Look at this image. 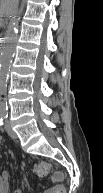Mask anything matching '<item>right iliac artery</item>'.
<instances>
[{"instance_id": "obj_1", "label": "right iliac artery", "mask_w": 103, "mask_h": 193, "mask_svg": "<svg viewBox=\"0 0 103 193\" xmlns=\"http://www.w3.org/2000/svg\"><path fill=\"white\" fill-rule=\"evenodd\" d=\"M4 115H1V118H0V125H3L4 124Z\"/></svg>"}]
</instances>
